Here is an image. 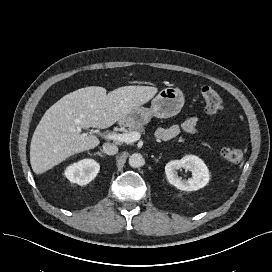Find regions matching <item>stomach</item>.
Segmentation results:
<instances>
[{
	"instance_id": "obj_1",
	"label": "stomach",
	"mask_w": 272,
	"mask_h": 272,
	"mask_svg": "<svg viewBox=\"0 0 272 272\" xmlns=\"http://www.w3.org/2000/svg\"><path fill=\"white\" fill-rule=\"evenodd\" d=\"M184 105L182 91L175 87L162 89L151 102L150 108L137 107L121 122L127 126L146 125L151 118H169L177 115Z\"/></svg>"
}]
</instances>
